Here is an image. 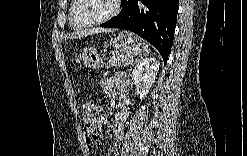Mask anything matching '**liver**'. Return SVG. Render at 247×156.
<instances>
[{
  "mask_svg": "<svg viewBox=\"0 0 247 156\" xmlns=\"http://www.w3.org/2000/svg\"><path fill=\"white\" fill-rule=\"evenodd\" d=\"M114 29H101V28H96V29H90V30H85V31H81L79 33H75L71 35V38H76L77 36L82 37V36H88L91 34H98V33H109V32H113Z\"/></svg>",
  "mask_w": 247,
  "mask_h": 156,
  "instance_id": "1",
  "label": "liver"
}]
</instances>
